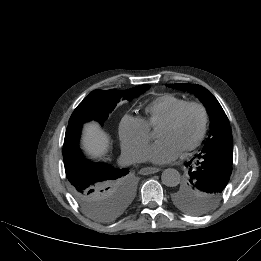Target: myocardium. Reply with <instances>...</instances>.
Wrapping results in <instances>:
<instances>
[{"instance_id": "1", "label": "myocardium", "mask_w": 261, "mask_h": 261, "mask_svg": "<svg viewBox=\"0 0 261 261\" xmlns=\"http://www.w3.org/2000/svg\"><path fill=\"white\" fill-rule=\"evenodd\" d=\"M190 107H197L202 114V124L196 139L188 145L182 152V156H186L188 153L194 151L200 146L207 132L209 115L206 106L200 101H187L181 105L161 126H174L178 123L184 112Z\"/></svg>"}]
</instances>
